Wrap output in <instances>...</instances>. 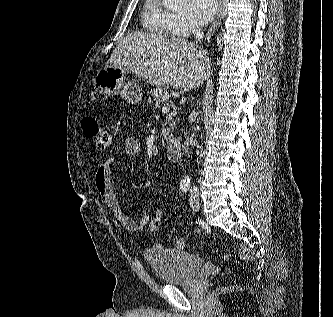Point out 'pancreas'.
<instances>
[{
	"label": "pancreas",
	"instance_id": "obj_1",
	"mask_svg": "<svg viewBox=\"0 0 333 317\" xmlns=\"http://www.w3.org/2000/svg\"><path fill=\"white\" fill-rule=\"evenodd\" d=\"M169 98L168 92L162 88H156L150 91V96L148 98V103H155L156 107H160L164 104V101H167ZM175 127V122L170 124L167 128V133L165 134V140H170L173 137L171 130Z\"/></svg>",
	"mask_w": 333,
	"mask_h": 317
}]
</instances>
